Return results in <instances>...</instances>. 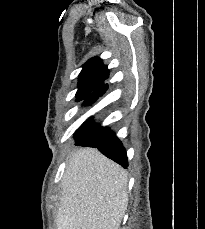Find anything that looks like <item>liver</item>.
<instances>
[{"instance_id":"liver-1","label":"liver","mask_w":205,"mask_h":229,"mask_svg":"<svg viewBox=\"0 0 205 229\" xmlns=\"http://www.w3.org/2000/svg\"><path fill=\"white\" fill-rule=\"evenodd\" d=\"M126 171L94 148L67 157L57 229H120L128 206Z\"/></svg>"}]
</instances>
